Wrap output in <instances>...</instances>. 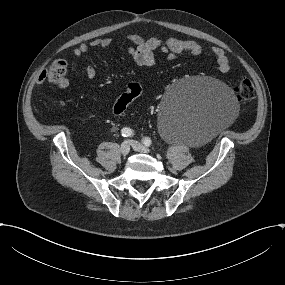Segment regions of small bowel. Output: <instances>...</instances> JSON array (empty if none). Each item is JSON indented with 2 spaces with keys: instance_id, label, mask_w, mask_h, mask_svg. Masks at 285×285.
I'll use <instances>...</instances> for the list:
<instances>
[{
  "instance_id": "small-bowel-1",
  "label": "small bowel",
  "mask_w": 285,
  "mask_h": 285,
  "mask_svg": "<svg viewBox=\"0 0 285 285\" xmlns=\"http://www.w3.org/2000/svg\"><path fill=\"white\" fill-rule=\"evenodd\" d=\"M126 38L130 42L127 47L128 54L133 62L140 67L151 68L156 65L155 52L159 51L166 56L169 60H175L181 54H190L193 56H199L204 52V48L199 42L193 40H181L177 38H169L167 40H161L157 36H151L144 38L137 34L126 35ZM113 39L110 37L96 38L89 43H82L73 49V55L80 57L86 54L92 48L105 49L111 46ZM210 53L215 58L218 69L226 73L230 70V63L225 51L220 47L210 48ZM86 78L93 80L96 75L95 68L88 64L85 68ZM46 79V72L40 76L38 83L42 84ZM70 85V80L67 77H63L57 82L58 90H65Z\"/></svg>"
}]
</instances>
